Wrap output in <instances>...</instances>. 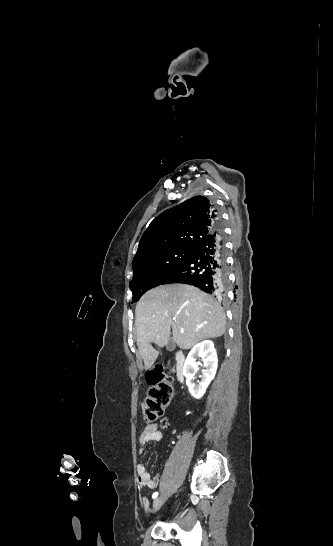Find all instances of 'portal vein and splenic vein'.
Instances as JSON below:
<instances>
[{
  "mask_svg": "<svg viewBox=\"0 0 333 546\" xmlns=\"http://www.w3.org/2000/svg\"><path fill=\"white\" fill-rule=\"evenodd\" d=\"M175 319H176V318H173V320H175ZM181 332L183 333L184 331H181Z\"/></svg>",
  "mask_w": 333,
  "mask_h": 546,
  "instance_id": "portal-vein-and-splenic-vein-1",
  "label": "portal vein and splenic vein"
}]
</instances>
